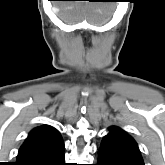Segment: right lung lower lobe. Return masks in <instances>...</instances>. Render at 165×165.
I'll return each mask as SVG.
<instances>
[{
  "mask_svg": "<svg viewBox=\"0 0 165 165\" xmlns=\"http://www.w3.org/2000/svg\"><path fill=\"white\" fill-rule=\"evenodd\" d=\"M38 149L39 152L17 165H66L61 135L43 143Z\"/></svg>",
  "mask_w": 165,
  "mask_h": 165,
  "instance_id": "obj_1",
  "label": "right lung lower lobe"
}]
</instances>
